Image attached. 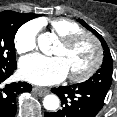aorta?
<instances>
[{"instance_id": "1", "label": "aorta", "mask_w": 117, "mask_h": 117, "mask_svg": "<svg viewBox=\"0 0 117 117\" xmlns=\"http://www.w3.org/2000/svg\"><path fill=\"white\" fill-rule=\"evenodd\" d=\"M53 40L54 39L51 33H44L39 35L37 41L40 50L43 53L48 54L50 52V49L52 48ZM43 106L47 110L55 111L60 106V100L54 94L46 95L43 99Z\"/></svg>"}]
</instances>
